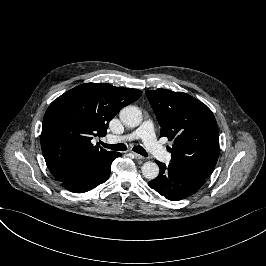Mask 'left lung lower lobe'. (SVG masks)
Here are the masks:
<instances>
[{
    "label": "left lung lower lobe",
    "mask_w": 266,
    "mask_h": 266,
    "mask_svg": "<svg viewBox=\"0 0 266 266\" xmlns=\"http://www.w3.org/2000/svg\"><path fill=\"white\" fill-rule=\"evenodd\" d=\"M160 167L158 177L148 185L172 201L182 200L197 192L206 177L185 167L170 163L168 166L156 161Z\"/></svg>",
    "instance_id": "left-lung-lower-lobe-1"
}]
</instances>
